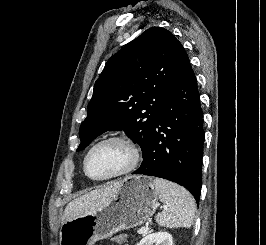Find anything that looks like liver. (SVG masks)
Segmentation results:
<instances>
[{
  "instance_id": "1",
  "label": "liver",
  "mask_w": 266,
  "mask_h": 245,
  "mask_svg": "<svg viewBox=\"0 0 266 245\" xmlns=\"http://www.w3.org/2000/svg\"><path fill=\"white\" fill-rule=\"evenodd\" d=\"M121 187L122 181H118V183H109L107 187H100V189H95V191H90V193H85L82 197L70 201L64 211L62 225H64L66 221H70V219H75V217L96 213V211H99V209L111 203L113 197H115Z\"/></svg>"
}]
</instances>
